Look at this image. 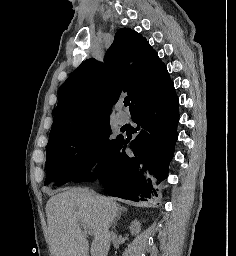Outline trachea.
<instances>
[{
	"label": "trachea",
	"instance_id": "1",
	"mask_svg": "<svg viewBox=\"0 0 236 256\" xmlns=\"http://www.w3.org/2000/svg\"><path fill=\"white\" fill-rule=\"evenodd\" d=\"M129 103H130L129 98H125V99H124V106H128Z\"/></svg>",
	"mask_w": 236,
	"mask_h": 256
}]
</instances>
